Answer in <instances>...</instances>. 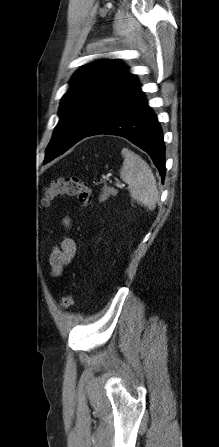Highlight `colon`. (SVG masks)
Returning <instances> with one entry per match:
<instances>
[{"label":"colon","mask_w":219,"mask_h":447,"mask_svg":"<svg viewBox=\"0 0 219 447\" xmlns=\"http://www.w3.org/2000/svg\"><path fill=\"white\" fill-rule=\"evenodd\" d=\"M57 197H76L82 205L86 206L92 200V190L87 183L77 177L60 178L44 189L43 202L48 204ZM74 301V295L68 293L62 298L61 307L68 309Z\"/></svg>","instance_id":"obj_1"}]
</instances>
